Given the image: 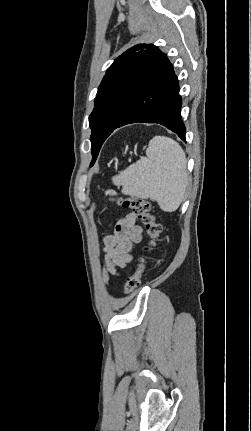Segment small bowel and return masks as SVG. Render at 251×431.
I'll return each instance as SVG.
<instances>
[{
  "mask_svg": "<svg viewBox=\"0 0 251 431\" xmlns=\"http://www.w3.org/2000/svg\"><path fill=\"white\" fill-rule=\"evenodd\" d=\"M137 216L129 213L117 223L115 231L103 239L104 259L103 277L109 279L110 275H118V268H127L133 261L132 248L144 237V230L137 225Z\"/></svg>",
  "mask_w": 251,
  "mask_h": 431,
  "instance_id": "c3829d8e",
  "label": "small bowel"
}]
</instances>
